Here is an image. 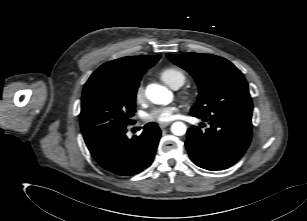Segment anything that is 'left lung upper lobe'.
Segmentation results:
<instances>
[{"instance_id": "5c2ea615", "label": "left lung upper lobe", "mask_w": 307, "mask_h": 221, "mask_svg": "<svg viewBox=\"0 0 307 221\" xmlns=\"http://www.w3.org/2000/svg\"><path fill=\"white\" fill-rule=\"evenodd\" d=\"M167 57L188 71L198 84V101L191 108V114L208 117L227 110L252 112L247 81L225 58L198 53L167 54Z\"/></svg>"}]
</instances>
